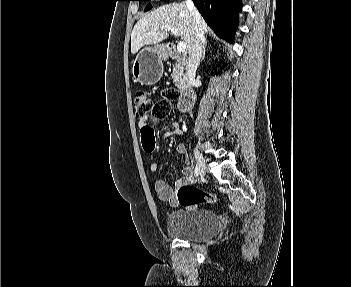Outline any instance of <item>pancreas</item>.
<instances>
[{"mask_svg": "<svg viewBox=\"0 0 351 287\" xmlns=\"http://www.w3.org/2000/svg\"><path fill=\"white\" fill-rule=\"evenodd\" d=\"M174 58L177 60V62L173 65V72H172V79L173 82L175 83V86L183 90L185 88V76H184V67L181 65L180 61L178 60L177 56H174Z\"/></svg>", "mask_w": 351, "mask_h": 287, "instance_id": "1", "label": "pancreas"}]
</instances>
